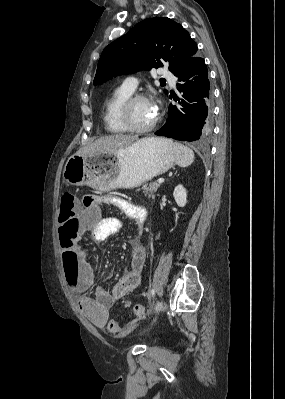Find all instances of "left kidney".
Segmentation results:
<instances>
[{"label": "left kidney", "mask_w": 285, "mask_h": 399, "mask_svg": "<svg viewBox=\"0 0 285 399\" xmlns=\"http://www.w3.org/2000/svg\"><path fill=\"white\" fill-rule=\"evenodd\" d=\"M174 199L179 207H184L187 203V191L182 185L175 187L173 192Z\"/></svg>", "instance_id": "left-kidney-1"}]
</instances>
